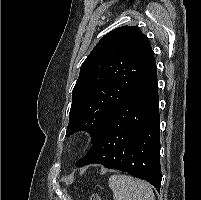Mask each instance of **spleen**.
Listing matches in <instances>:
<instances>
[{
	"mask_svg": "<svg viewBox=\"0 0 201 200\" xmlns=\"http://www.w3.org/2000/svg\"><path fill=\"white\" fill-rule=\"evenodd\" d=\"M114 200H155L150 185L131 176L114 174L109 178Z\"/></svg>",
	"mask_w": 201,
	"mask_h": 200,
	"instance_id": "spleen-1",
	"label": "spleen"
}]
</instances>
